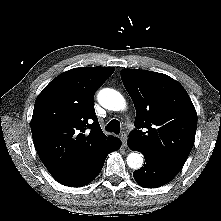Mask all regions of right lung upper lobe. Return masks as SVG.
I'll return each mask as SVG.
<instances>
[{"mask_svg":"<svg viewBox=\"0 0 221 221\" xmlns=\"http://www.w3.org/2000/svg\"><path fill=\"white\" fill-rule=\"evenodd\" d=\"M113 72L112 67L74 68L38 95L32 137L41 161L58 182L116 140L103 133L94 111V94Z\"/></svg>","mask_w":221,"mask_h":221,"instance_id":"right-lung-upper-lobe-1","label":"right lung upper lobe"}]
</instances>
